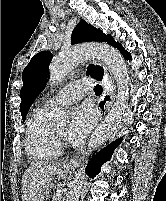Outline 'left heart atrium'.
<instances>
[{
	"instance_id": "1",
	"label": "left heart atrium",
	"mask_w": 166,
	"mask_h": 201,
	"mask_svg": "<svg viewBox=\"0 0 166 201\" xmlns=\"http://www.w3.org/2000/svg\"><path fill=\"white\" fill-rule=\"evenodd\" d=\"M95 122L96 113L91 105L83 104L75 108L67 131L69 142L74 145L82 143L92 130Z\"/></svg>"
}]
</instances>
